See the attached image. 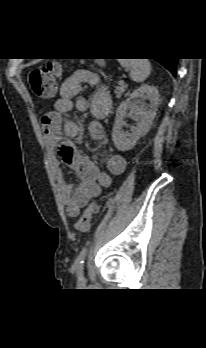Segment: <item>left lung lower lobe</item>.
Listing matches in <instances>:
<instances>
[{
  "instance_id": "obj_1",
  "label": "left lung lower lobe",
  "mask_w": 206,
  "mask_h": 348,
  "mask_svg": "<svg viewBox=\"0 0 206 348\" xmlns=\"http://www.w3.org/2000/svg\"><path fill=\"white\" fill-rule=\"evenodd\" d=\"M155 60L162 64L164 67H166L173 74V76H176V65L178 62V58H163Z\"/></svg>"
}]
</instances>
